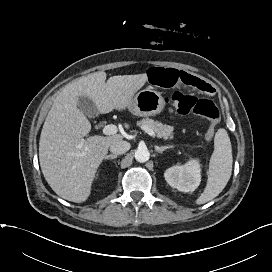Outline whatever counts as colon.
<instances>
[{
  "mask_svg": "<svg viewBox=\"0 0 272 272\" xmlns=\"http://www.w3.org/2000/svg\"><path fill=\"white\" fill-rule=\"evenodd\" d=\"M166 102L171 110L179 114H194L208 119L210 125L206 131V138L213 137L219 121V110L213 101L177 90L166 97Z\"/></svg>",
  "mask_w": 272,
  "mask_h": 272,
  "instance_id": "obj_1",
  "label": "colon"
}]
</instances>
